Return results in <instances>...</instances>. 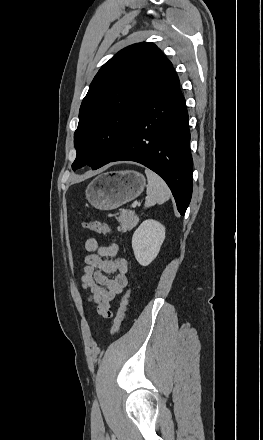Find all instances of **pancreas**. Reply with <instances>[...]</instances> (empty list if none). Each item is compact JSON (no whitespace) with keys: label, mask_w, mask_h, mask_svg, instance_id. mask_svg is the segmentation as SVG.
Masks as SVG:
<instances>
[{"label":"pancreas","mask_w":263,"mask_h":440,"mask_svg":"<svg viewBox=\"0 0 263 440\" xmlns=\"http://www.w3.org/2000/svg\"><path fill=\"white\" fill-rule=\"evenodd\" d=\"M139 221V218L135 215L133 211H126L122 213L119 218L118 222L121 224L118 227V231L120 232H126L133 229Z\"/></svg>","instance_id":"cf45deb5"}]
</instances>
